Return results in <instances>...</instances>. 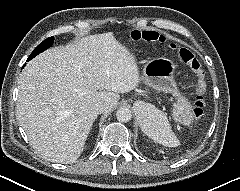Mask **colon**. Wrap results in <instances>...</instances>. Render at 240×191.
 <instances>
[{
  "instance_id": "colon-1",
  "label": "colon",
  "mask_w": 240,
  "mask_h": 191,
  "mask_svg": "<svg viewBox=\"0 0 240 191\" xmlns=\"http://www.w3.org/2000/svg\"><path fill=\"white\" fill-rule=\"evenodd\" d=\"M129 39L135 42H145L148 44L163 43L165 38L163 35L155 31H135L129 35ZM175 48V45H171ZM179 58L186 63L197 75L198 78V93L195 100L189 108V114L194 123H199L204 114V95L206 93V77L201 62L198 58L187 48L178 50Z\"/></svg>"
}]
</instances>
